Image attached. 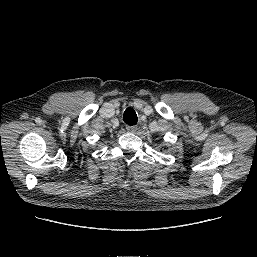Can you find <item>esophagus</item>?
<instances>
[{
	"label": "esophagus",
	"mask_w": 257,
	"mask_h": 257,
	"mask_svg": "<svg viewBox=\"0 0 257 257\" xmlns=\"http://www.w3.org/2000/svg\"><path fill=\"white\" fill-rule=\"evenodd\" d=\"M128 132L134 133L137 130V126H126Z\"/></svg>",
	"instance_id": "obj_1"
}]
</instances>
